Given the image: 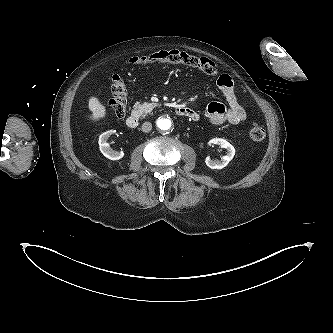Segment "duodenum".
<instances>
[{
	"mask_svg": "<svg viewBox=\"0 0 333 333\" xmlns=\"http://www.w3.org/2000/svg\"><path fill=\"white\" fill-rule=\"evenodd\" d=\"M176 113L178 115H183L184 114V111H185V108L183 106H179L175 109ZM139 124V119H138V116L136 114H131L127 117L126 119V125L129 127V128H136Z\"/></svg>",
	"mask_w": 333,
	"mask_h": 333,
	"instance_id": "duodenum-1",
	"label": "duodenum"
}]
</instances>
